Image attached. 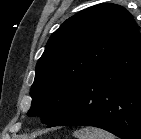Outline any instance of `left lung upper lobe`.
I'll list each match as a JSON object with an SVG mask.
<instances>
[{"label": "left lung upper lobe", "mask_w": 141, "mask_h": 139, "mask_svg": "<svg viewBox=\"0 0 141 139\" xmlns=\"http://www.w3.org/2000/svg\"><path fill=\"white\" fill-rule=\"evenodd\" d=\"M138 34L132 15L116 4H98L67 19L37 62L28 114L51 122L84 80Z\"/></svg>", "instance_id": "left-lung-upper-lobe-1"}]
</instances>
